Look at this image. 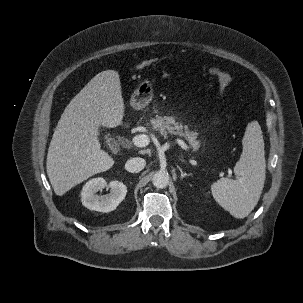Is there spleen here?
Instances as JSON below:
<instances>
[{"label": "spleen", "instance_id": "obj_1", "mask_svg": "<svg viewBox=\"0 0 303 303\" xmlns=\"http://www.w3.org/2000/svg\"><path fill=\"white\" fill-rule=\"evenodd\" d=\"M242 145L241 157L234 167L236 179L222 178L211 185L216 202L235 218H245L251 213L264 187V140L257 121L248 123Z\"/></svg>", "mask_w": 303, "mask_h": 303}]
</instances>
